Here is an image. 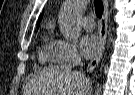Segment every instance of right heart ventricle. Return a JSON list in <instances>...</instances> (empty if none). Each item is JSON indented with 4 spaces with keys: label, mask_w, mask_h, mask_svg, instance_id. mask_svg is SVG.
Segmentation results:
<instances>
[{
    "label": "right heart ventricle",
    "mask_w": 135,
    "mask_h": 95,
    "mask_svg": "<svg viewBox=\"0 0 135 95\" xmlns=\"http://www.w3.org/2000/svg\"><path fill=\"white\" fill-rule=\"evenodd\" d=\"M53 25L52 23H48L46 26V42L41 48L39 49V58L42 62H49L55 63V50L54 44L55 41L52 37Z\"/></svg>",
    "instance_id": "right-heart-ventricle-1"
}]
</instances>
